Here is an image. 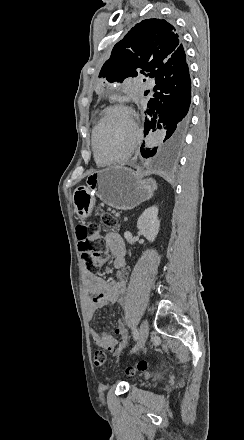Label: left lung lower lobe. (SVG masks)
Returning a JSON list of instances; mask_svg holds the SVG:
<instances>
[{"mask_svg":"<svg viewBox=\"0 0 244 440\" xmlns=\"http://www.w3.org/2000/svg\"><path fill=\"white\" fill-rule=\"evenodd\" d=\"M154 77L156 92L146 108L144 134L164 129L166 136L158 153L173 154L183 145L190 125L191 81L186 57L177 64L161 67ZM156 152L157 148H147L143 156L148 158Z\"/></svg>","mask_w":244,"mask_h":440,"instance_id":"0a47b994","label":"left lung lower lobe"}]
</instances>
